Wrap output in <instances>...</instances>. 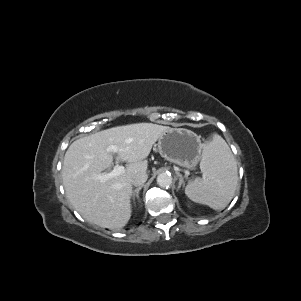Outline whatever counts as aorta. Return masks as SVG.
<instances>
[{"mask_svg": "<svg viewBox=\"0 0 301 301\" xmlns=\"http://www.w3.org/2000/svg\"><path fill=\"white\" fill-rule=\"evenodd\" d=\"M157 184L161 188H168L172 184V176L169 173H161L157 176Z\"/></svg>", "mask_w": 301, "mask_h": 301, "instance_id": "aorta-1", "label": "aorta"}]
</instances>
